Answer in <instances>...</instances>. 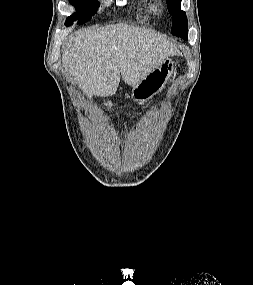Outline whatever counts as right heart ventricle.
I'll return each mask as SVG.
<instances>
[{
	"label": "right heart ventricle",
	"instance_id": "right-heart-ventricle-1",
	"mask_svg": "<svg viewBox=\"0 0 253 285\" xmlns=\"http://www.w3.org/2000/svg\"><path fill=\"white\" fill-rule=\"evenodd\" d=\"M143 11H144V18H149L151 13L153 12V7L150 4H145L143 6Z\"/></svg>",
	"mask_w": 253,
	"mask_h": 285
}]
</instances>
